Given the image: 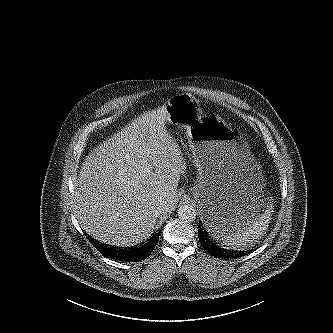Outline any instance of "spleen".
I'll return each mask as SVG.
<instances>
[{"instance_id": "3e777b00", "label": "spleen", "mask_w": 333, "mask_h": 333, "mask_svg": "<svg viewBox=\"0 0 333 333\" xmlns=\"http://www.w3.org/2000/svg\"><path fill=\"white\" fill-rule=\"evenodd\" d=\"M272 212L273 206L269 204L263 213L249 221L245 226L224 235L221 238V243L232 248L246 247L253 243L268 228Z\"/></svg>"}]
</instances>
